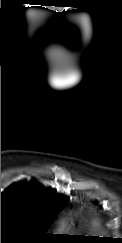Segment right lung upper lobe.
<instances>
[{
  "label": "right lung upper lobe",
  "instance_id": "1",
  "mask_svg": "<svg viewBox=\"0 0 122 243\" xmlns=\"http://www.w3.org/2000/svg\"><path fill=\"white\" fill-rule=\"evenodd\" d=\"M1 199L19 200L43 208L62 207L68 200L65 196L56 195V192L45 191L42 186L34 182L14 183L2 193Z\"/></svg>",
  "mask_w": 122,
  "mask_h": 243
}]
</instances>
